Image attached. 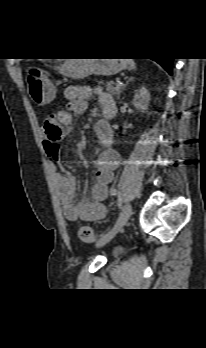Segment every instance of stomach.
Wrapping results in <instances>:
<instances>
[{
    "label": "stomach",
    "mask_w": 206,
    "mask_h": 348,
    "mask_svg": "<svg viewBox=\"0 0 206 348\" xmlns=\"http://www.w3.org/2000/svg\"><path fill=\"white\" fill-rule=\"evenodd\" d=\"M126 68V63L119 59H67L57 67L60 74L72 79H83L89 75L110 76ZM48 102L47 98L39 101L40 105Z\"/></svg>",
    "instance_id": "obj_1"
}]
</instances>
